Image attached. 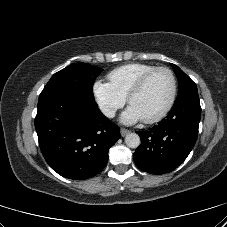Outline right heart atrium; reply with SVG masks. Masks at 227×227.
<instances>
[{
	"label": "right heart atrium",
	"instance_id": "1",
	"mask_svg": "<svg viewBox=\"0 0 227 227\" xmlns=\"http://www.w3.org/2000/svg\"><path fill=\"white\" fill-rule=\"evenodd\" d=\"M92 91L98 107L107 117H113L125 103V97L121 96L108 82L101 80L94 82Z\"/></svg>",
	"mask_w": 227,
	"mask_h": 227
}]
</instances>
